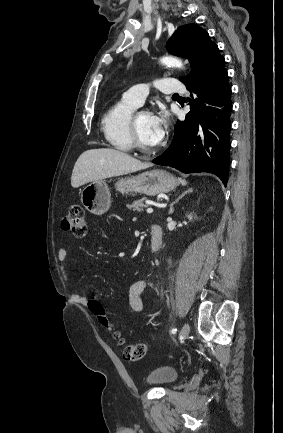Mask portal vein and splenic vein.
Segmentation results:
<instances>
[{
  "mask_svg": "<svg viewBox=\"0 0 283 433\" xmlns=\"http://www.w3.org/2000/svg\"><path fill=\"white\" fill-rule=\"evenodd\" d=\"M146 212H153V208H147Z\"/></svg>",
  "mask_w": 283,
  "mask_h": 433,
  "instance_id": "portal-vein-and-splenic-vein-1",
  "label": "portal vein and splenic vein"
}]
</instances>
